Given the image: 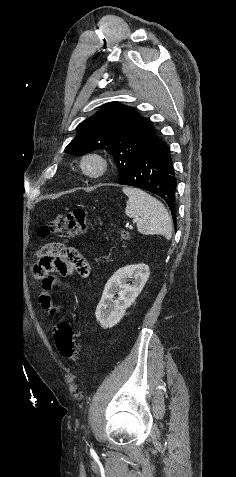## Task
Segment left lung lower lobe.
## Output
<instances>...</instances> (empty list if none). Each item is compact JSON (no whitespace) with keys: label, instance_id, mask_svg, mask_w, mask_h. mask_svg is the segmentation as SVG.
<instances>
[{"label":"left lung lower lobe","instance_id":"1","mask_svg":"<svg viewBox=\"0 0 236 477\" xmlns=\"http://www.w3.org/2000/svg\"><path fill=\"white\" fill-rule=\"evenodd\" d=\"M119 184L137 187L160 196L169 206L176 228V178L169 147L158 137L139 153Z\"/></svg>","mask_w":236,"mask_h":477}]
</instances>
